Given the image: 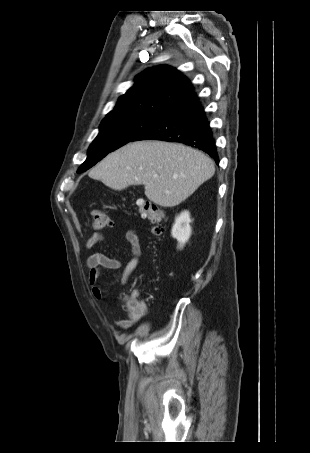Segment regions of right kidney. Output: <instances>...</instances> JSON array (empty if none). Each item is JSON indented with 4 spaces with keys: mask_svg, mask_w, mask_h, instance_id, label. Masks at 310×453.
<instances>
[{
    "mask_svg": "<svg viewBox=\"0 0 310 453\" xmlns=\"http://www.w3.org/2000/svg\"><path fill=\"white\" fill-rule=\"evenodd\" d=\"M191 222L192 220L190 219V213L188 211L181 212L175 219L171 235L173 238L177 239L179 248H183L191 236Z\"/></svg>",
    "mask_w": 310,
    "mask_h": 453,
    "instance_id": "1",
    "label": "right kidney"
}]
</instances>
